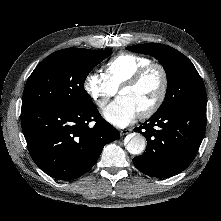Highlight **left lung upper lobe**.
<instances>
[{"instance_id":"5c2ea615","label":"left lung upper lobe","mask_w":221,"mask_h":221,"mask_svg":"<svg viewBox=\"0 0 221 221\" xmlns=\"http://www.w3.org/2000/svg\"><path fill=\"white\" fill-rule=\"evenodd\" d=\"M127 50L155 57L167 75V93L157 111L171 107H206L203 81L192 62L176 49L156 43L138 44Z\"/></svg>"}]
</instances>
